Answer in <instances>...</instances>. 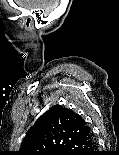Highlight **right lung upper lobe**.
Segmentation results:
<instances>
[{"mask_svg":"<svg viewBox=\"0 0 119 155\" xmlns=\"http://www.w3.org/2000/svg\"><path fill=\"white\" fill-rule=\"evenodd\" d=\"M88 129L80 115L55 105L29 129L17 155H60Z\"/></svg>","mask_w":119,"mask_h":155,"instance_id":"right-lung-upper-lobe-1","label":"right lung upper lobe"}]
</instances>
